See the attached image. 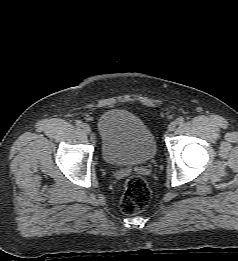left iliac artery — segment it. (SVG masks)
Here are the masks:
<instances>
[{
	"label": "left iliac artery",
	"mask_w": 238,
	"mask_h": 261,
	"mask_svg": "<svg viewBox=\"0 0 238 261\" xmlns=\"http://www.w3.org/2000/svg\"><path fill=\"white\" fill-rule=\"evenodd\" d=\"M184 121H185V119H184L183 117H179V118L177 119V124H183Z\"/></svg>",
	"instance_id": "left-iliac-artery-1"
}]
</instances>
